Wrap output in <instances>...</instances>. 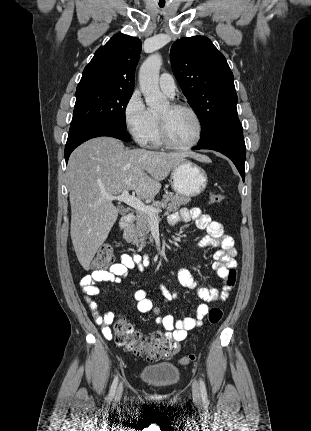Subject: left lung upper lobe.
Wrapping results in <instances>:
<instances>
[{
    "label": "left lung upper lobe",
    "mask_w": 311,
    "mask_h": 431,
    "mask_svg": "<svg viewBox=\"0 0 311 431\" xmlns=\"http://www.w3.org/2000/svg\"><path fill=\"white\" fill-rule=\"evenodd\" d=\"M173 73L202 126L199 143L230 127L241 126L234 76L224 55L210 39L193 36L171 48Z\"/></svg>",
    "instance_id": "1"
}]
</instances>
